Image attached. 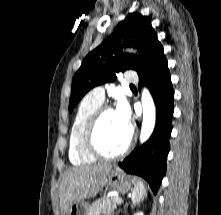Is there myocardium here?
I'll use <instances>...</instances> for the list:
<instances>
[{
  "label": "myocardium",
  "mask_w": 221,
  "mask_h": 215,
  "mask_svg": "<svg viewBox=\"0 0 221 215\" xmlns=\"http://www.w3.org/2000/svg\"><path fill=\"white\" fill-rule=\"evenodd\" d=\"M114 111L109 105H101L90 118L87 127L84 132L83 142L87 152L95 158L113 160L125 156L133 147L135 136L134 131L130 129V136L125 147L116 153H106L97 144V129L102 117L108 113Z\"/></svg>",
  "instance_id": "obj_1"
}]
</instances>
